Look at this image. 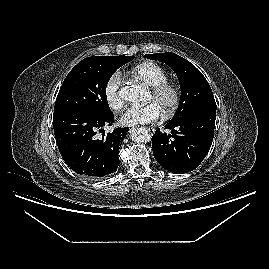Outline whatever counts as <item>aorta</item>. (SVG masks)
Here are the masks:
<instances>
[{
	"instance_id": "1",
	"label": "aorta",
	"mask_w": 269,
	"mask_h": 269,
	"mask_svg": "<svg viewBox=\"0 0 269 269\" xmlns=\"http://www.w3.org/2000/svg\"><path fill=\"white\" fill-rule=\"evenodd\" d=\"M119 96L126 102L137 103L145 97L144 89L139 85H127L120 89ZM130 138L134 142L147 143L151 140V135L143 127H135L130 130Z\"/></svg>"
}]
</instances>
